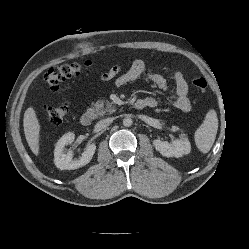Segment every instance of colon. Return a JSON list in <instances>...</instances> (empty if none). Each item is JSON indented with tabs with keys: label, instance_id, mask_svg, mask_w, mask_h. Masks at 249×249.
Returning a JSON list of instances; mask_svg holds the SVG:
<instances>
[{
	"label": "colon",
	"instance_id": "1",
	"mask_svg": "<svg viewBox=\"0 0 249 249\" xmlns=\"http://www.w3.org/2000/svg\"><path fill=\"white\" fill-rule=\"evenodd\" d=\"M91 72V63L85 62L83 64L71 63L63 64L51 68L45 75V82L49 89L55 93L60 94V83L73 76H78L82 73ZM194 86L201 92H206L207 81L202 78L193 79ZM69 109L67 104L58 106H46L44 108V115L47 120L54 124L62 123L68 117Z\"/></svg>",
	"mask_w": 249,
	"mask_h": 249
}]
</instances>
